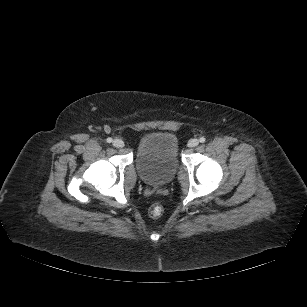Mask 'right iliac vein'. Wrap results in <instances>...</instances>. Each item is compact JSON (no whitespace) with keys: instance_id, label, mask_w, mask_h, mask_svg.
Wrapping results in <instances>:
<instances>
[{"instance_id":"1","label":"right iliac vein","mask_w":307,"mask_h":307,"mask_svg":"<svg viewBox=\"0 0 307 307\" xmlns=\"http://www.w3.org/2000/svg\"><path fill=\"white\" fill-rule=\"evenodd\" d=\"M113 145H114V147H116V148H122V147H124V141L121 140V139H115V140L113 141Z\"/></svg>"}]
</instances>
